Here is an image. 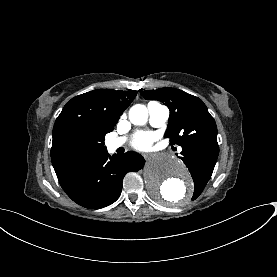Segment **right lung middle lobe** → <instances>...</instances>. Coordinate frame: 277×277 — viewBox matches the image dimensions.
<instances>
[{
    "mask_svg": "<svg viewBox=\"0 0 277 277\" xmlns=\"http://www.w3.org/2000/svg\"><path fill=\"white\" fill-rule=\"evenodd\" d=\"M102 149L103 150H107V148L104 145L102 146ZM96 152L97 151H95L93 148L84 147V148L81 149V156L83 158H88V157H90L91 155H93Z\"/></svg>",
    "mask_w": 277,
    "mask_h": 277,
    "instance_id": "obj_1",
    "label": "right lung middle lobe"
}]
</instances>
